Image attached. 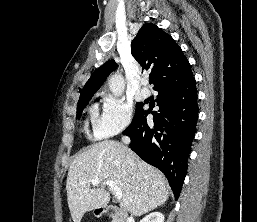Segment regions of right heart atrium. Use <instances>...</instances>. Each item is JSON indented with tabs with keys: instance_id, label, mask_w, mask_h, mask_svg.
Returning a JSON list of instances; mask_svg holds the SVG:
<instances>
[{
	"instance_id": "right-heart-atrium-1",
	"label": "right heart atrium",
	"mask_w": 257,
	"mask_h": 222,
	"mask_svg": "<svg viewBox=\"0 0 257 222\" xmlns=\"http://www.w3.org/2000/svg\"><path fill=\"white\" fill-rule=\"evenodd\" d=\"M104 105L107 108H113L121 112L122 114V124L119 127L111 128L105 125L102 119H97L94 123V135L97 138H105L114 136L121 131H123L132 120L133 107L128 102L120 98L106 97L104 99Z\"/></svg>"
}]
</instances>
